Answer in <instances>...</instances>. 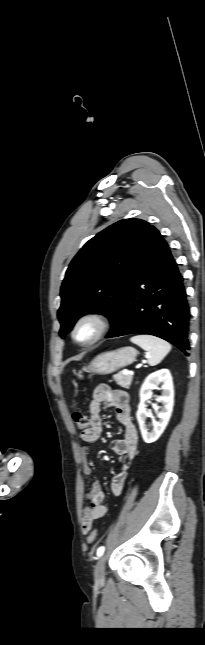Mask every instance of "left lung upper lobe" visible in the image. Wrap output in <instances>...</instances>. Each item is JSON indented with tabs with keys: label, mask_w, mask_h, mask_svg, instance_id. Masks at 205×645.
<instances>
[{
	"label": "left lung upper lobe",
	"mask_w": 205,
	"mask_h": 645,
	"mask_svg": "<svg viewBox=\"0 0 205 645\" xmlns=\"http://www.w3.org/2000/svg\"><path fill=\"white\" fill-rule=\"evenodd\" d=\"M149 226L141 219L121 220L90 239L74 257L60 292L62 338L87 313L107 316L109 334L117 329L128 275Z\"/></svg>",
	"instance_id": "1"
}]
</instances>
